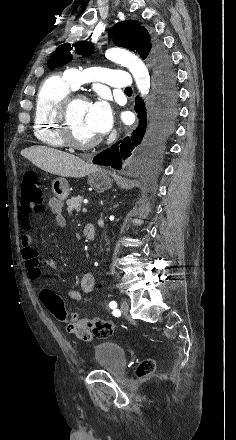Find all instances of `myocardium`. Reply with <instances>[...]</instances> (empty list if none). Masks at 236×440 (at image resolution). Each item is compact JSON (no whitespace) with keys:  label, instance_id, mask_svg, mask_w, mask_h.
<instances>
[{"label":"myocardium","instance_id":"f54148a6","mask_svg":"<svg viewBox=\"0 0 236 440\" xmlns=\"http://www.w3.org/2000/svg\"><path fill=\"white\" fill-rule=\"evenodd\" d=\"M78 101L89 102V98L84 93L71 91L58 102L55 109V120L58 124V133L66 146L81 150L91 149L98 145L100 142L99 137L81 142L74 137L72 132L70 111L73 105Z\"/></svg>","mask_w":236,"mask_h":440}]
</instances>
